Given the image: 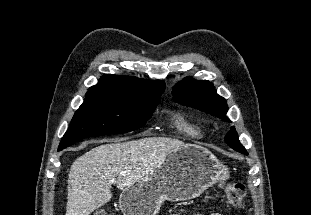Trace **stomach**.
I'll return each mask as SVG.
<instances>
[{"instance_id": "obj_1", "label": "stomach", "mask_w": 311, "mask_h": 215, "mask_svg": "<svg viewBox=\"0 0 311 215\" xmlns=\"http://www.w3.org/2000/svg\"><path fill=\"white\" fill-rule=\"evenodd\" d=\"M227 178V169L208 149L185 144L153 173L123 190L119 207L124 215H156L164 201L194 199Z\"/></svg>"}]
</instances>
